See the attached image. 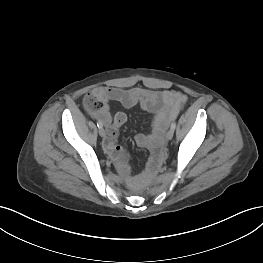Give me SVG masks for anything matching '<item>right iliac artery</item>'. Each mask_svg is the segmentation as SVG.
<instances>
[{"mask_svg":"<svg viewBox=\"0 0 263 263\" xmlns=\"http://www.w3.org/2000/svg\"><path fill=\"white\" fill-rule=\"evenodd\" d=\"M97 126H98V128H102L103 127V123L101 121H98L97 122Z\"/></svg>","mask_w":263,"mask_h":263,"instance_id":"right-iliac-artery-1","label":"right iliac artery"}]
</instances>
